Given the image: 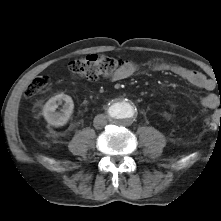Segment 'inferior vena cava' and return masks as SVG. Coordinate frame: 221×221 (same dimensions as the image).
Wrapping results in <instances>:
<instances>
[{"label":"inferior vena cava","mask_w":221,"mask_h":221,"mask_svg":"<svg viewBox=\"0 0 221 221\" xmlns=\"http://www.w3.org/2000/svg\"><path fill=\"white\" fill-rule=\"evenodd\" d=\"M94 127L96 129H101L107 124V118L103 114H99L94 118Z\"/></svg>","instance_id":"1"}]
</instances>
